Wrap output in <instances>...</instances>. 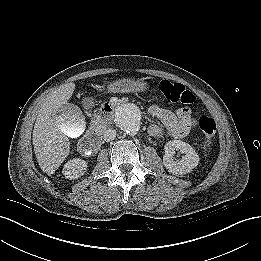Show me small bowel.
Segmentation results:
<instances>
[{"instance_id":"obj_1","label":"small bowel","mask_w":261,"mask_h":261,"mask_svg":"<svg viewBox=\"0 0 261 261\" xmlns=\"http://www.w3.org/2000/svg\"><path fill=\"white\" fill-rule=\"evenodd\" d=\"M149 112L161 121L167 133L173 138L178 139L187 136L196 125V120L191 109L188 107L171 111L157 105H152ZM149 133L152 136H160L163 130L159 125L153 124L149 128Z\"/></svg>"}]
</instances>
